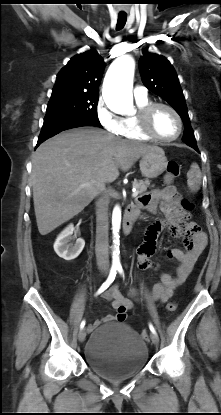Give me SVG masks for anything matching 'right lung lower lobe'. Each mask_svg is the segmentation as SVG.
I'll return each instance as SVG.
<instances>
[{"label": "right lung lower lobe", "instance_id": "98d812e1", "mask_svg": "<svg viewBox=\"0 0 221 415\" xmlns=\"http://www.w3.org/2000/svg\"><path fill=\"white\" fill-rule=\"evenodd\" d=\"M96 126L100 124L83 117L46 115L36 148L48 138L71 128Z\"/></svg>", "mask_w": 221, "mask_h": 415}]
</instances>
